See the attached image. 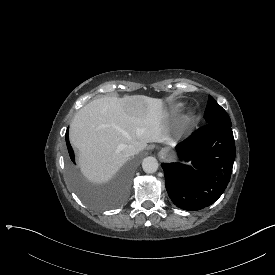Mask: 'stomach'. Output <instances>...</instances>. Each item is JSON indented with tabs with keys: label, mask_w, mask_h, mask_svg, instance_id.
<instances>
[{
	"label": "stomach",
	"mask_w": 275,
	"mask_h": 275,
	"mask_svg": "<svg viewBox=\"0 0 275 275\" xmlns=\"http://www.w3.org/2000/svg\"><path fill=\"white\" fill-rule=\"evenodd\" d=\"M166 151H168L169 150V148H164Z\"/></svg>",
	"instance_id": "obj_1"
}]
</instances>
